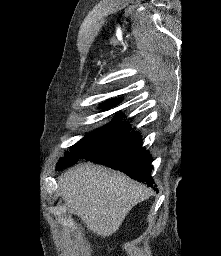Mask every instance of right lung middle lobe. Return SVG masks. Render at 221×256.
Returning a JSON list of instances; mask_svg holds the SVG:
<instances>
[{"mask_svg": "<svg viewBox=\"0 0 221 256\" xmlns=\"http://www.w3.org/2000/svg\"><path fill=\"white\" fill-rule=\"evenodd\" d=\"M121 116L118 115L109 125H105L87 134L82 140L71 147L70 152H66L65 156L60 158L57 163V169H64L77 163L79 159H83L94 151L100 149L106 144L113 142L128 133L131 129L130 125H119Z\"/></svg>", "mask_w": 221, "mask_h": 256, "instance_id": "1", "label": "right lung middle lobe"}]
</instances>
